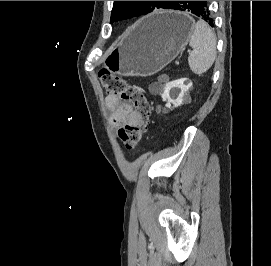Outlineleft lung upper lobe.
Wrapping results in <instances>:
<instances>
[{
  "mask_svg": "<svg viewBox=\"0 0 271 266\" xmlns=\"http://www.w3.org/2000/svg\"><path fill=\"white\" fill-rule=\"evenodd\" d=\"M174 1H114L110 22L148 14L156 9H168Z\"/></svg>",
  "mask_w": 271,
  "mask_h": 266,
  "instance_id": "1",
  "label": "left lung upper lobe"
}]
</instances>
